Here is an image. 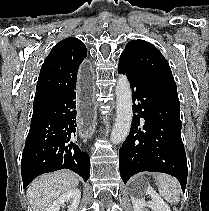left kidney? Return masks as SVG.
Wrapping results in <instances>:
<instances>
[{
    "mask_svg": "<svg viewBox=\"0 0 209 211\" xmlns=\"http://www.w3.org/2000/svg\"><path fill=\"white\" fill-rule=\"evenodd\" d=\"M144 195H148L151 200L146 202L143 197ZM130 197L134 211H148L146 207H149L151 211H171L164 200L149 185L143 190L136 185L132 186L130 189Z\"/></svg>",
    "mask_w": 209,
    "mask_h": 211,
    "instance_id": "left-kidney-1",
    "label": "left kidney"
}]
</instances>
